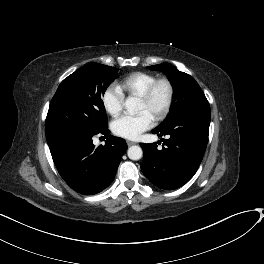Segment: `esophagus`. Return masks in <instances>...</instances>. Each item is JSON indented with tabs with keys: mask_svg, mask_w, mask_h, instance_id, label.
<instances>
[{
	"mask_svg": "<svg viewBox=\"0 0 264 264\" xmlns=\"http://www.w3.org/2000/svg\"><path fill=\"white\" fill-rule=\"evenodd\" d=\"M134 144H135V142H133V141H129V140L127 141V145H128V146H132V145H134Z\"/></svg>",
	"mask_w": 264,
	"mask_h": 264,
	"instance_id": "34e87169",
	"label": "esophagus"
}]
</instances>
